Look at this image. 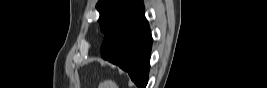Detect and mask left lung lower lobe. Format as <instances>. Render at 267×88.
Listing matches in <instances>:
<instances>
[{
	"label": "left lung lower lobe",
	"instance_id": "1",
	"mask_svg": "<svg viewBox=\"0 0 267 88\" xmlns=\"http://www.w3.org/2000/svg\"><path fill=\"white\" fill-rule=\"evenodd\" d=\"M151 42L149 25L141 3L106 33L101 56L127 71L138 88H145L150 67Z\"/></svg>",
	"mask_w": 267,
	"mask_h": 88
}]
</instances>
